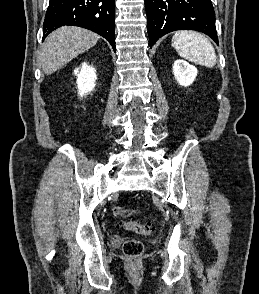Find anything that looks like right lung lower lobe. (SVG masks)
<instances>
[{
  "mask_svg": "<svg viewBox=\"0 0 259 294\" xmlns=\"http://www.w3.org/2000/svg\"><path fill=\"white\" fill-rule=\"evenodd\" d=\"M114 3V0H50L43 39L61 26H80L106 38L115 51Z\"/></svg>",
  "mask_w": 259,
  "mask_h": 294,
  "instance_id": "98d812e1",
  "label": "right lung lower lobe"
}]
</instances>
